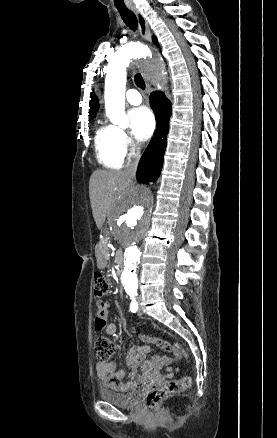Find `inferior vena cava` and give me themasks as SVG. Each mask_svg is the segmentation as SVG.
Here are the masks:
<instances>
[{"label": "inferior vena cava", "mask_w": 277, "mask_h": 438, "mask_svg": "<svg viewBox=\"0 0 277 438\" xmlns=\"http://www.w3.org/2000/svg\"><path fill=\"white\" fill-rule=\"evenodd\" d=\"M139 162V156H134L132 162L126 166L124 172L127 174L128 178L131 180H135L136 172H137V166Z\"/></svg>", "instance_id": "602c4592"}]
</instances>
